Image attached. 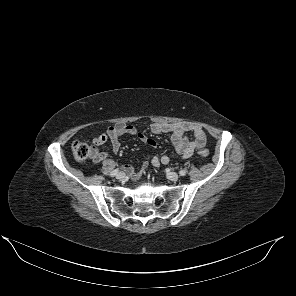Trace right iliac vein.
I'll return each mask as SVG.
<instances>
[{
	"label": "right iliac vein",
	"instance_id": "1",
	"mask_svg": "<svg viewBox=\"0 0 296 296\" xmlns=\"http://www.w3.org/2000/svg\"><path fill=\"white\" fill-rule=\"evenodd\" d=\"M116 178H117L118 180H122V179L125 178V174H124L123 172H120V173H118V174L116 175Z\"/></svg>",
	"mask_w": 296,
	"mask_h": 296
}]
</instances>
